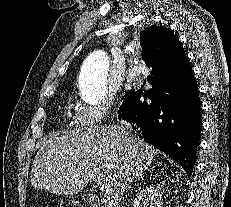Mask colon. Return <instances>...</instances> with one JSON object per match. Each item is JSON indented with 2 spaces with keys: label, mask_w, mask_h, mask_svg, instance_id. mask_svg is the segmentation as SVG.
<instances>
[{
  "label": "colon",
  "mask_w": 231,
  "mask_h": 207,
  "mask_svg": "<svg viewBox=\"0 0 231 207\" xmlns=\"http://www.w3.org/2000/svg\"><path fill=\"white\" fill-rule=\"evenodd\" d=\"M59 207H80V205L77 201L66 198L60 202Z\"/></svg>",
  "instance_id": "colon-1"
}]
</instances>
